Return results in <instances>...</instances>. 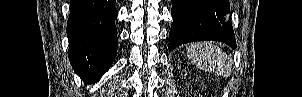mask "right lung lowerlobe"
Listing matches in <instances>:
<instances>
[{"instance_id":"right-lung-lower-lobe-1","label":"right lung lower lobe","mask_w":302,"mask_h":97,"mask_svg":"<svg viewBox=\"0 0 302 97\" xmlns=\"http://www.w3.org/2000/svg\"><path fill=\"white\" fill-rule=\"evenodd\" d=\"M116 0H71L67 22L69 60L84 81L99 79L117 53Z\"/></svg>"}]
</instances>
